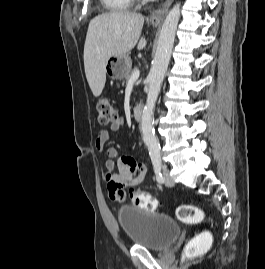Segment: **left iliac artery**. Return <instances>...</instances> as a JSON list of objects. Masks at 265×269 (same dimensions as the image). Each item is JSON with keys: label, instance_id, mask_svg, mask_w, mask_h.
Listing matches in <instances>:
<instances>
[{"label": "left iliac artery", "instance_id": "1", "mask_svg": "<svg viewBox=\"0 0 265 269\" xmlns=\"http://www.w3.org/2000/svg\"><path fill=\"white\" fill-rule=\"evenodd\" d=\"M152 163H153V168H154L157 182L163 183L164 177L161 173V167H162L161 157L160 156L152 157Z\"/></svg>", "mask_w": 265, "mask_h": 269}]
</instances>
